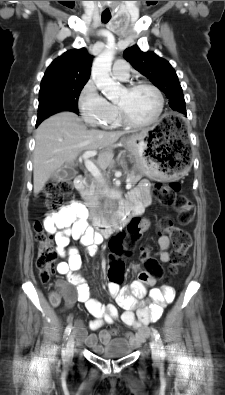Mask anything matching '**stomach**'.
I'll list each match as a JSON object with an SVG mask.
<instances>
[{"label":"stomach","mask_w":225,"mask_h":395,"mask_svg":"<svg viewBox=\"0 0 225 395\" xmlns=\"http://www.w3.org/2000/svg\"><path fill=\"white\" fill-rule=\"evenodd\" d=\"M158 125L124 138L123 142L134 155L135 169L153 180L181 178L188 166L183 152L174 151L167 135L159 131Z\"/></svg>","instance_id":"stomach-1"}]
</instances>
